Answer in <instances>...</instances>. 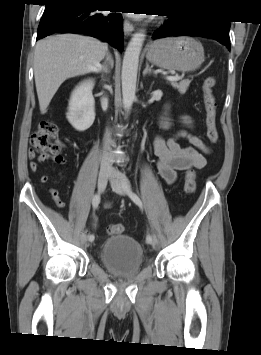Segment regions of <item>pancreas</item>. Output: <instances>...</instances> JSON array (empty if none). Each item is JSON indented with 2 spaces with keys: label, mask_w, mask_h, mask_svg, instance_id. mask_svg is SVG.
<instances>
[{
  "label": "pancreas",
  "mask_w": 261,
  "mask_h": 355,
  "mask_svg": "<svg viewBox=\"0 0 261 355\" xmlns=\"http://www.w3.org/2000/svg\"><path fill=\"white\" fill-rule=\"evenodd\" d=\"M171 85L175 88V89H178V91L181 93V94H185L189 85H190V80L189 79H185V80H182L180 82H176V81H173L171 82Z\"/></svg>",
  "instance_id": "pancreas-1"
}]
</instances>
